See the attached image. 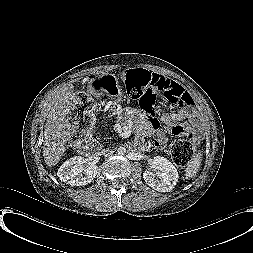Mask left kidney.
Returning a JSON list of instances; mask_svg holds the SVG:
<instances>
[{
  "label": "left kidney",
  "instance_id": "obj_1",
  "mask_svg": "<svg viewBox=\"0 0 253 253\" xmlns=\"http://www.w3.org/2000/svg\"><path fill=\"white\" fill-rule=\"evenodd\" d=\"M152 170L143 173V179L153 189L159 192L171 191L178 181L175 166L166 158L155 156L151 162Z\"/></svg>",
  "mask_w": 253,
  "mask_h": 253
}]
</instances>
